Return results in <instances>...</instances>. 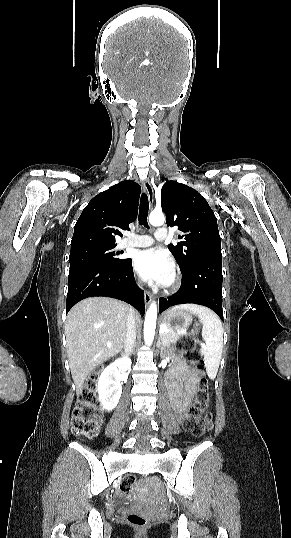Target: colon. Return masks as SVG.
<instances>
[{
    "instance_id": "colon-1",
    "label": "colon",
    "mask_w": 291,
    "mask_h": 538,
    "mask_svg": "<svg viewBox=\"0 0 291 538\" xmlns=\"http://www.w3.org/2000/svg\"><path fill=\"white\" fill-rule=\"evenodd\" d=\"M176 346L186 360L197 370L199 383L196 398L186 410L184 427L193 436L203 435L211 426V416L207 413L210 393L204 375V364L194 341L189 337L180 338ZM100 370L94 372L86 381L84 388L78 396L77 404L71 418V428L74 434L92 438L96 435L102 420V409L96 395L97 379ZM134 487V478L125 476L121 480L120 490L124 494H131ZM127 522L137 531L143 532L149 525L148 519L139 513H129Z\"/></svg>"
}]
</instances>
